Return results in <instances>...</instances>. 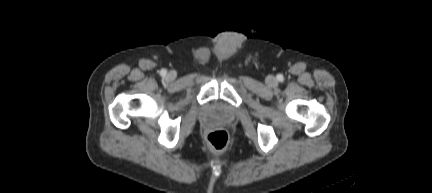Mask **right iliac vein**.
I'll list each match as a JSON object with an SVG mask.
<instances>
[{"instance_id":"right-iliac-vein-1","label":"right iliac vein","mask_w":432,"mask_h":193,"mask_svg":"<svg viewBox=\"0 0 432 193\" xmlns=\"http://www.w3.org/2000/svg\"><path fill=\"white\" fill-rule=\"evenodd\" d=\"M167 80L172 81L176 78V74L174 72H169L166 76Z\"/></svg>"}]
</instances>
